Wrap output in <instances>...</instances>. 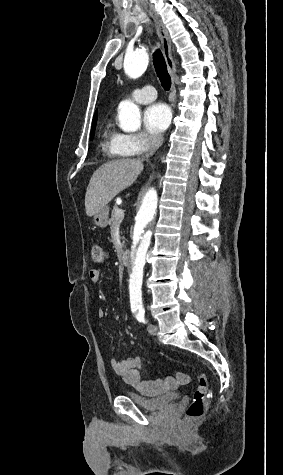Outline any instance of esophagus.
<instances>
[{"label":"esophagus","instance_id":"obj_1","mask_svg":"<svg viewBox=\"0 0 283 475\" xmlns=\"http://www.w3.org/2000/svg\"><path fill=\"white\" fill-rule=\"evenodd\" d=\"M149 15L154 19V22L156 24L157 28V34L158 37L161 40L162 43V48H163V55L166 60V65L168 68V71L171 75L172 78V87H171V93L174 97L171 98L172 101L175 100V95H176V87H175V80H176V67L174 60L172 58V52H171V41L170 37L168 34V30L166 29L165 25L159 20L158 16L154 14L151 11H148Z\"/></svg>","mask_w":283,"mask_h":475}]
</instances>
